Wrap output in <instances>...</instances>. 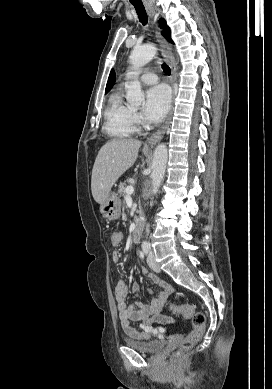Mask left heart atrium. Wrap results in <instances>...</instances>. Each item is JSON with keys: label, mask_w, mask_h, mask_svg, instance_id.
<instances>
[{"label": "left heart atrium", "mask_w": 272, "mask_h": 389, "mask_svg": "<svg viewBox=\"0 0 272 389\" xmlns=\"http://www.w3.org/2000/svg\"><path fill=\"white\" fill-rule=\"evenodd\" d=\"M170 106V92L166 86L156 85L146 93L145 116L151 122L161 121Z\"/></svg>", "instance_id": "1"}]
</instances>
